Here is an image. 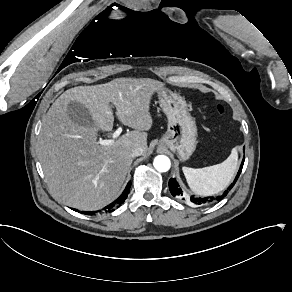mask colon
Segmentation results:
<instances>
[{
	"label": "colon",
	"mask_w": 292,
	"mask_h": 292,
	"mask_svg": "<svg viewBox=\"0 0 292 292\" xmlns=\"http://www.w3.org/2000/svg\"><path fill=\"white\" fill-rule=\"evenodd\" d=\"M214 110H215L216 114H218V115H222V114H224L225 107H224L222 104L217 103V104L214 106Z\"/></svg>",
	"instance_id": "obj_1"
}]
</instances>
